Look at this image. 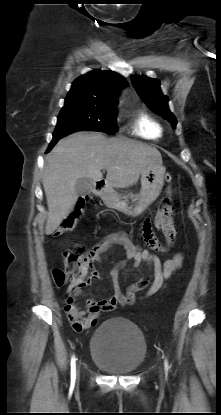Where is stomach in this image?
Here are the masks:
<instances>
[{"instance_id": "0dacf381", "label": "stomach", "mask_w": 221, "mask_h": 415, "mask_svg": "<svg viewBox=\"0 0 221 415\" xmlns=\"http://www.w3.org/2000/svg\"><path fill=\"white\" fill-rule=\"evenodd\" d=\"M165 168L151 165L141 173V189L138 194H118L111 189L102 193L107 207L128 216L141 215L160 195L164 185Z\"/></svg>"}]
</instances>
